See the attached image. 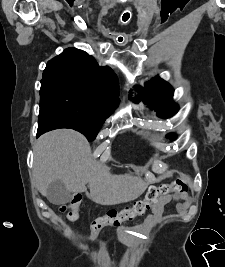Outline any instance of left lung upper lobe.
Returning a JSON list of instances; mask_svg holds the SVG:
<instances>
[{
	"label": "left lung upper lobe",
	"instance_id": "5c2ea615",
	"mask_svg": "<svg viewBox=\"0 0 225 267\" xmlns=\"http://www.w3.org/2000/svg\"><path fill=\"white\" fill-rule=\"evenodd\" d=\"M135 87L139 94L133 98L134 102L137 103L142 100L148 106L155 108L159 117L168 118L178 111V106L172 103L174 89L159 77L145 83L144 88ZM161 102L162 104H160ZM167 137L174 140L176 136L169 134Z\"/></svg>",
	"mask_w": 225,
	"mask_h": 267
}]
</instances>
